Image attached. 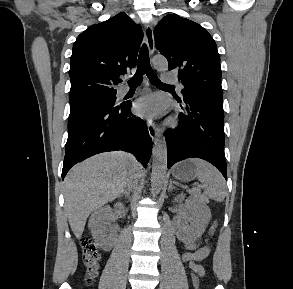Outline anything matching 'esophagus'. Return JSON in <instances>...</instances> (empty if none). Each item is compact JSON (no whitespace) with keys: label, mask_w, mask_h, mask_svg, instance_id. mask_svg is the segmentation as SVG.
Instances as JSON below:
<instances>
[{"label":"esophagus","mask_w":293,"mask_h":289,"mask_svg":"<svg viewBox=\"0 0 293 289\" xmlns=\"http://www.w3.org/2000/svg\"><path fill=\"white\" fill-rule=\"evenodd\" d=\"M144 33H145V38H146V43L149 49V52L151 55L154 53V35H153V28L150 24H146L144 27ZM147 127H148V132L149 135L152 139V141H156L158 138V132L156 125L152 119H149L147 121Z\"/></svg>","instance_id":"34e87169"}]
</instances>
